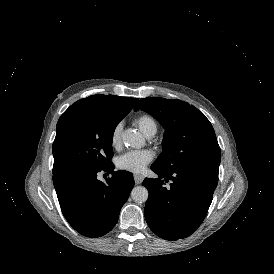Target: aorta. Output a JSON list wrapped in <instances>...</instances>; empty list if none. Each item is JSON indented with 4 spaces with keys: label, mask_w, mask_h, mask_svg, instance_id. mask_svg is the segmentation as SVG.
I'll use <instances>...</instances> for the list:
<instances>
[{
    "label": "aorta",
    "mask_w": 274,
    "mask_h": 274,
    "mask_svg": "<svg viewBox=\"0 0 274 274\" xmlns=\"http://www.w3.org/2000/svg\"><path fill=\"white\" fill-rule=\"evenodd\" d=\"M123 141L126 145L133 148H139L143 145L144 141L140 133L136 132L133 129H127L123 133ZM149 193L144 186H136L131 191L132 199L137 203L146 202L148 199Z\"/></svg>",
    "instance_id": "1"
}]
</instances>
